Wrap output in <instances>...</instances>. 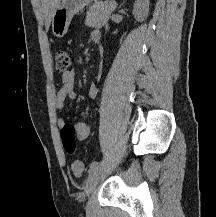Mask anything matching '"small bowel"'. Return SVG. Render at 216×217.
Instances as JSON below:
<instances>
[{
    "label": "small bowel",
    "mask_w": 216,
    "mask_h": 217,
    "mask_svg": "<svg viewBox=\"0 0 216 217\" xmlns=\"http://www.w3.org/2000/svg\"><path fill=\"white\" fill-rule=\"evenodd\" d=\"M91 39L96 42V39L100 40L101 35L98 31L91 33ZM97 92V84L92 83L89 91L88 98L92 99ZM76 98L75 91V73L74 70L66 71L61 76V86L54 98V105L56 109L61 110L65 106L66 100H72ZM66 123L62 118L57 120V126L60 132L65 127ZM90 134V125L86 121H79L75 126V138L78 141L85 140Z\"/></svg>",
    "instance_id": "small-bowel-1"
}]
</instances>
